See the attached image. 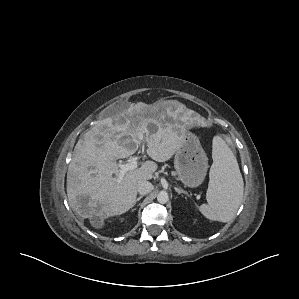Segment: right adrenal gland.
Masks as SVG:
<instances>
[{"instance_id":"right-adrenal-gland-1","label":"right adrenal gland","mask_w":299,"mask_h":299,"mask_svg":"<svg viewBox=\"0 0 299 299\" xmlns=\"http://www.w3.org/2000/svg\"><path fill=\"white\" fill-rule=\"evenodd\" d=\"M142 198H143V195H140L138 198H136V200H135V204H136L138 201H140Z\"/></svg>"}]
</instances>
